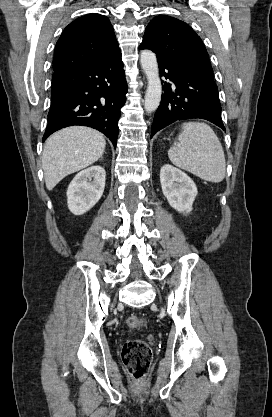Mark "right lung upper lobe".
Listing matches in <instances>:
<instances>
[{
	"instance_id": "cb5924a9",
	"label": "right lung upper lobe",
	"mask_w": 272,
	"mask_h": 417,
	"mask_svg": "<svg viewBox=\"0 0 272 417\" xmlns=\"http://www.w3.org/2000/svg\"><path fill=\"white\" fill-rule=\"evenodd\" d=\"M118 43L107 17L92 13L71 22L56 43L53 70L88 67L103 60Z\"/></svg>"
}]
</instances>
